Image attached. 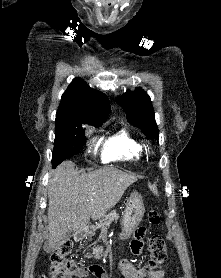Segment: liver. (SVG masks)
Returning a JSON list of instances; mask_svg holds the SVG:
<instances>
[{
	"mask_svg": "<svg viewBox=\"0 0 221 278\" xmlns=\"http://www.w3.org/2000/svg\"><path fill=\"white\" fill-rule=\"evenodd\" d=\"M71 161L53 171L48 185V245L54 251L68 231H84L90 218L100 219L114 207L137 177L113 167L82 173Z\"/></svg>",
	"mask_w": 221,
	"mask_h": 278,
	"instance_id": "liver-1",
	"label": "liver"
}]
</instances>
